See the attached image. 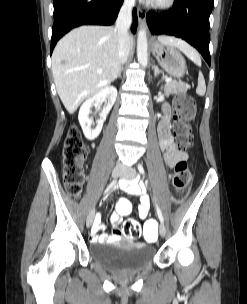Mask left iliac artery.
Listing matches in <instances>:
<instances>
[{
  "label": "left iliac artery",
  "instance_id": "obj_1",
  "mask_svg": "<svg viewBox=\"0 0 247 304\" xmlns=\"http://www.w3.org/2000/svg\"><path fill=\"white\" fill-rule=\"evenodd\" d=\"M138 170L143 176L145 175V172H144V169H143L142 165H140V164L138 165ZM155 207H156L158 218L163 223L164 218H163L162 212H161L160 208L158 207V205L156 203H155Z\"/></svg>",
  "mask_w": 247,
  "mask_h": 304
}]
</instances>
